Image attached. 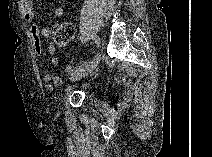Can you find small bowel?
<instances>
[{
  "mask_svg": "<svg viewBox=\"0 0 212 157\" xmlns=\"http://www.w3.org/2000/svg\"><path fill=\"white\" fill-rule=\"evenodd\" d=\"M22 11L24 18L26 21H33L35 18V9L33 2L31 0H24L21 3ZM51 11L54 17H62L64 14V10L61 6L52 5ZM30 38L32 40L34 51L37 55L42 53V37H49L50 29L48 27L39 28L36 23H32L29 27ZM48 53L52 55L51 64H57V58L54 56L56 53V46L52 43L48 45ZM53 77L49 74L44 75L43 80L44 82L51 87V81Z\"/></svg>",
  "mask_w": 212,
  "mask_h": 157,
  "instance_id": "small-bowel-1",
  "label": "small bowel"
}]
</instances>
